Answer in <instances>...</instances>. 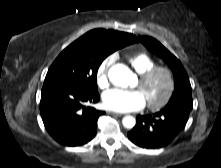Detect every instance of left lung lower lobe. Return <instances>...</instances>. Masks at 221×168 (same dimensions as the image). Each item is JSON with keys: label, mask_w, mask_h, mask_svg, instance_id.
Here are the masks:
<instances>
[{"label": "left lung lower lobe", "mask_w": 221, "mask_h": 168, "mask_svg": "<svg viewBox=\"0 0 221 168\" xmlns=\"http://www.w3.org/2000/svg\"><path fill=\"white\" fill-rule=\"evenodd\" d=\"M192 106L165 107L153 115H138L128 138L142 148L156 149L168 145L185 127Z\"/></svg>", "instance_id": "0a47b994"}]
</instances>
